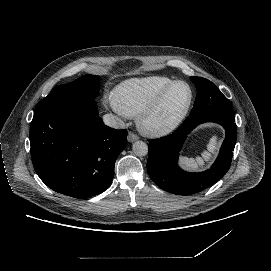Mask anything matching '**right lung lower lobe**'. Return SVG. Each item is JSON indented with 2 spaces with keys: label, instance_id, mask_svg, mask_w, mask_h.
<instances>
[{
  "label": "right lung lower lobe",
  "instance_id": "1",
  "mask_svg": "<svg viewBox=\"0 0 271 271\" xmlns=\"http://www.w3.org/2000/svg\"><path fill=\"white\" fill-rule=\"evenodd\" d=\"M127 130L103 124L96 104H62L34 113L30 125L33 166L54 191L86 199L104 192Z\"/></svg>",
  "mask_w": 271,
  "mask_h": 271
}]
</instances>
